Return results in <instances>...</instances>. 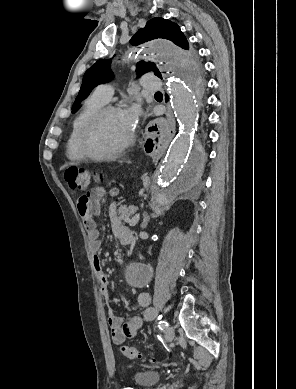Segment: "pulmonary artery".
<instances>
[{"label": "pulmonary artery", "instance_id": "pulmonary-artery-1", "mask_svg": "<svg viewBox=\"0 0 296 389\" xmlns=\"http://www.w3.org/2000/svg\"><path fill=\"white\" fill-rule=\"evenodd\" d=\"M141 86L150 91H156L160 88L159 80L153 75H145L142 78ZM114 89L110 84H101L94 90V95L104 102H108L113 96Z\"/></svg>", "mask_w": 296, "mask_h": 389}]
</instances>
